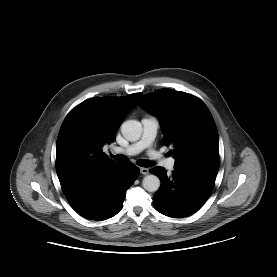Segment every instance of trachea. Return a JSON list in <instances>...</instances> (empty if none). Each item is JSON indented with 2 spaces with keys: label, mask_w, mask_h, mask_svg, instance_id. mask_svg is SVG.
Masks as SVG:
<instances>
[{
  "label": "trachea",
  "mask_w": 277,
  "mask_h": 277,
  "mask_svg": "<svg viewBox=\"0 0 277 277\" xmlns=\"http://www.w3.org/2000/svg\"><path fill=\"white\" fill-rule=\"evenodd\" d=\"M114 160L118 163H125L127 161V158L124 155L117 154L113 156ZM137 164L142 167H151L153 166V162L146 160V159H140L138 160Z\"/></svg>",
  "instance_id": "3493384b"
}]
</instances>
